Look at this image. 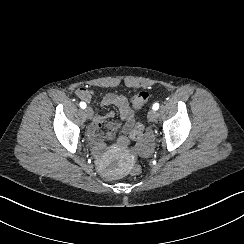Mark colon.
<instances>
[{"mask_svg":"<svg viewBox=\"0 0 244 244\" xmlns=\"http://www.w3.org/2000/svg\"><path fill=\"white\" fill-rule=\"evenodd\" d=\"M87 97L90 96L89 92H86ZM149 98L150 95L148 92H138L135 93L132 97V107L135 109H139L141 107H143L144 105H146V103L149 102ZM131 139L133 141H138L141 140L143 138V127L140 124H136L132 127L131 129ZM115 144L117 147L122 148L124 150H127L130 148L131 143L128 137L123 136V137H119L116 139ZM131 173L134 176H139L142 173V168L139 165H134L131 168Z\"/></svg>","mask_w":244,"mask_h":244,"instance_id":"5ec220e1","label":"colon"}]
</instances>
